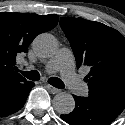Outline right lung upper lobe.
Here are the masks:
<instances>
[{"label":"right lung upper lobe","mask_w":125,"mask_h":125,"mask_svg":"<svg viewBox=\"0 0 125 125\" xmlns=\"http://www.w3.org/2000/svg\"><path fill=\"white\" fill-rule=\"evenodd\" d=\"M58 15L0 12V86L26 80L14 69L16 56L26 53L35 36L53 29Z\"/></svg>","instance_id":"right-lung-upper-lobe-1"}]
</instances>
